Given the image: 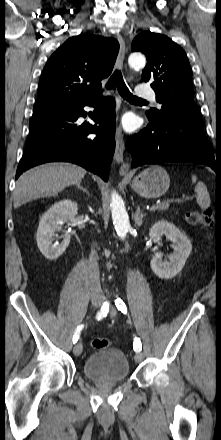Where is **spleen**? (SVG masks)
I'll use <instances>...</instances> for the list:
<instances>
[{
  "label": "spleen",
  "mask_w": 221,
  "mask_h": 440,
  "mask_svg": "<svg viewBox=\"0 0 221 440\" xmlns=\"http://www.w3.org/2000/svg\"><path fill=\"white\" fill-rule=\"evenodd\" d=\"M197 178L192 175V182L195 183ZM195 192L197 193V203L201 209L205 210L210 206L211 200L208 193L207 187L203 182H199L195 187Z\"/></svg>",
  "instance_id": "obj_1"
}]
</instances>
